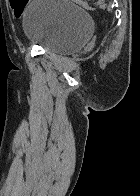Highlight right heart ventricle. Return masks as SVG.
<instances>
[{
	"mask_svg": "<svg viewBox=\"0 0 140 196\" xmlns=\"http://www.w3.org/2000/svg\"><path fill=\"white\" fill-rule=\"evenodd\" d=\"M1 192H31V191H1Z\"/></svg>",
	"mask_w": 140,
	"mask_h": 196,
	"instance_id": "e07e8e85",
	"label": "right heart ventricle"
}]
</instances>
